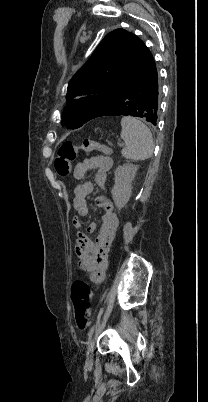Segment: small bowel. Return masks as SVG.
<instances>
[{
	"mask_svg": "<svg viewBox=\"0 0 208 402\" xmlns=\"http://www.w3.org/2000/svg\"><path fill=\"white\" fill-rule=\"evenodd\" d=\"M113 166V160L105 156H94L76 164L74 168V178L80 183L75 188L74 205L81 215L88 213L86 198L93 192L94 184L86 180L89 170L97 169L95 183L98 187L104 188L108 178V172ZM98 205L103 209L102 225L95 241L89 240L81 231V221L78 217H73L72 226L76 235V255L80 261V266L87 272L92 282L100 283L105 278L107 267V257L110 245L115 238L119 227V220L113 210L110 200L104 196L97 199ZM96 230V223L91 222L88 226L89 232Z\"/></svg>",
	"mask_w": 208,
	"mask_h": 402,
	"instance_id": "1",
	"label": "small bowel"
}]
</instances>
